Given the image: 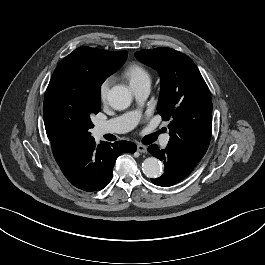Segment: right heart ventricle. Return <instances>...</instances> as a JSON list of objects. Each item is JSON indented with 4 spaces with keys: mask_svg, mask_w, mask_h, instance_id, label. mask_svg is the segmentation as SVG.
I'll return each instance as SVG.
<instances>
[{
    "mask_svg": "<svg viewBox=\"0 0 265 265\" xmlns=\"http://www.w3.org/2000/svg\"><path fill=\"white\" fill-rule=\"evenodd\" d=\"M123 75L129 81L131 87L146 81L151 82V77L148 70L136 63L128 65L125 68Z\"/></svg>",
    "mask_w": 265,
    "mask_h": 265,
    "instance_id": "obj_1",
    "label": "right heart ventricle"
}]
</instances>
